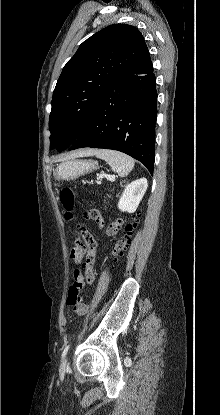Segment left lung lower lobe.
Segmentation results:
<instances>
[{
	"label": "left lung lower lobe",
	"mask_w": 220,
	"mask_h": 415,
	"mask_svg": "<svg viewBox=\"0 0 220 415\" xmlns=\"http://www.w3.org/2000/svg\"><path fill=\"white\" fill-rule=\"evenodd\" d=\"M156 118V78L150 61L142 70L113 82L69 150L121 151L142 162L153 175Z\"/></svg>",
	"instance_id": "0a47b994"
}]
</instances>
